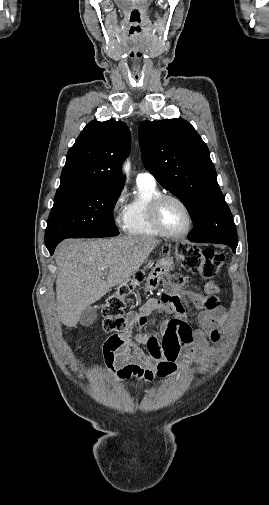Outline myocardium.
I'll return each instance as SVG.
<instances>
[{
  "label": "myocardium",
  "instance_id": "obj_1",
  "mask_svg": "<svg viewBox=\"0 0 269 505\" xmlns=\"http://www.w3.org/2000/svg\"><path fill=\"white\" fill-rule=\"evenodd\" d=\"M166 200H173L179 203L187 213L188 216V225L187 227L178 233L170 232L164 228L160 221L159 211L162 203ZM150 221L153 227L158 231V233L164 237L169 238H181L186 236L193 228L194 225V216L189 205L179 196L169 193H160L155 196L149 203L148 207Z\"/></svg>",
  "mask_w": 269,
  "mask_h": 505
}]
</instances>
